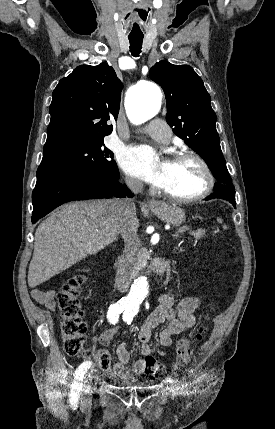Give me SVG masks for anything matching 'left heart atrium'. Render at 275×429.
<instances>
[{"label": "left heart atrium", "instance_id": "39dd6f15", "mask_svg": "<svg viewBox=\"0 0 275 429\" xmlns=\"http://www.w3.org/2000/svg\"><path fill=\"white\" fill-rule=\"evenodd\" d=\"M119 161L126 172L155 187H164L170 161L159 160L151 148L146 146L126 148L120 153Z\"/></svg>", "mask_w": 275, "mask_h": 429}]
</instances>
